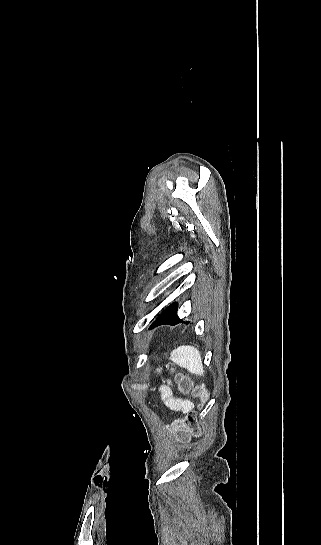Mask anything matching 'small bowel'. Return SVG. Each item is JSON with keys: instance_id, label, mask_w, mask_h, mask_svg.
I'll list each match as a JSON object with an SVG mask.
<instances>
[{"instance_id": "small-bowel-1", "label": "small bowel", "mask_w": 321, "mask_h": 545, "mask_svg": "<svg viewBox=\"0 0 321 545\" xmlns=\"http://www.w3.org/2000/svg\"><path fill=\"white\" fill-rule=\"evenodd\" d=\"M159 391L162 400L170 409L182 412H188L192 409L193 405L190 401L174 398L167 386H162Z\"/></svg>"}]
</instances>
